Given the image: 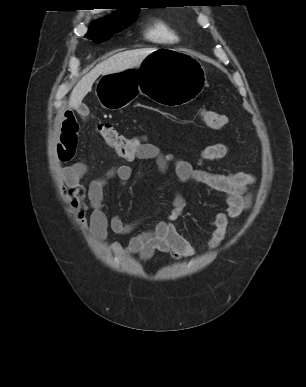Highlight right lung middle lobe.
I'll return each instance as SVG.
<instances>
[{
    "label": "right lung middle lobe",
    "instance_id": "obj_1",
    "mask_svg": "<svg viewBox=\"0 0 306 387\" xmlns=\"http://www.w3.org/2000/svg\"><path fill=\"white\" fill-rule=\"evenodd\" d=\"M137 11L121 13L104 23H95L85 35V38L91 39L95 43H101L108 40L115 32H119L133 21L136 20Z\"/></svg>",
    "mask_w": 306,
    "mask_h": 387
}]
</instances>
